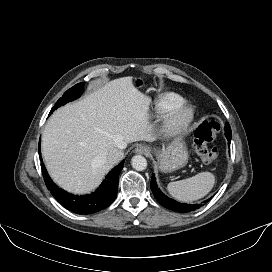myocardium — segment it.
I'll return each mask as SVG.
<instances>
[{
  "mask_svg": "<svg viewBox=\"0 0 272 272\" xmlns=\"http://www.w3.org/2000/svg\"><path fill=\"white\" fill-rule=\"evenodd\" d=\"M194 118V107L187 102H182L167 114L163 124V132L169 137L184 134L192 124Z\"/></svg>",
  "mask_w": 272,
  "mask_h": 272,
  "instance_id": "f54148a6",
  "label": "myocardium"
}]
</instances>
